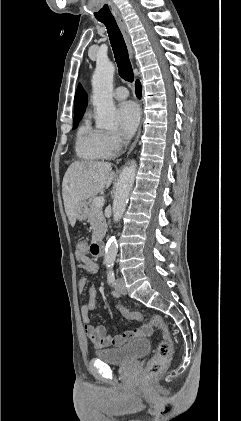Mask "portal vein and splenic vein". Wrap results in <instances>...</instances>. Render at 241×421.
Segmentation results:
<instances>
[{"label": "portal vein and splenic vein", "instance_id": "18ae733b", "mask_svg": "<svg viewBox=\"0 0 241 421\" xmlns=\"http://www.w3.org/2000/svg\"><path fill=\"white\" fill-rule=\"evenodd\" d=\"M105 200L103 197H97L94 199V205L97 207H103Z\"/></svg>", "mask_w": 241, "mask_h": 421}]
</instances>
